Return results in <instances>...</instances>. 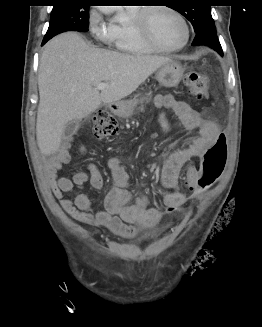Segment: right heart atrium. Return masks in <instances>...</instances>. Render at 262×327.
Listing matches in <instances>:
<instances>
[{"label":"right heart atrium","instance_id":"right-heart-atrium-1","mask_svg":"<svg viewBox=\"0 0 262 327\" xmlns=\"http://www.w3.org/2000/svg\"><path fill=\"white\" fill-rule=\"evenodd\" d=\"M88 27L92 34L100 41L105 43L113 41V27L110 23L105 21L102 11L98 9L90 11Z\"/></svg>","mask_w":262,"mask_h":327}]
</instances>
